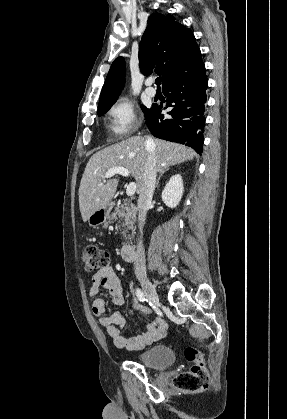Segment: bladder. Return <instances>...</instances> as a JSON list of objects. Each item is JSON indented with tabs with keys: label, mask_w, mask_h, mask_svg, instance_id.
<instances>
[{
	"label": "bladder",
	"mask_w": 287,
	"mask_h": 419,
	"mask_svg": "<svg viewBox=\"0 0 287 419\" xmlns=\"http://www.w3.org/2000/svg\"><path fill=\"white\" fill-rule=\"evenodd\" d=\"M143 365L154 369H166L175 362V354L166 345L154 346L137 357Z\"/></svg>",
	"instance_id": "bladder-1"
}]
</instances>
